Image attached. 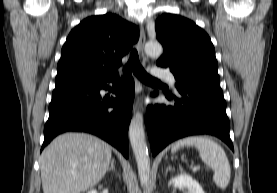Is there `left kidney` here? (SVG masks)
<instances>
[{"label": "left kidney", "mask_w": 277, "mask_h": 193, "mask_svg": "<svg viewBox=\"0 0 277 193\" xmlns=\"http://www.w3.org/2000/svg\"><path fill=\"white\" fill-rule=\"evenodd\" d=\"M169 185H173L174 188L186 187L189 193H205L200 184L188 174H180L172 178Z\"/></svg>", "instance_id": "left-kidney-1"}]
</instances>
